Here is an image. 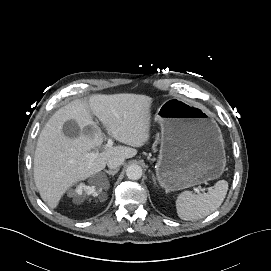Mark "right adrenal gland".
Listing matches in <instances>:
<instances>
[{
    "label": "right adrenal gland",
    "mask_w": 271,
    "mask_h": 271,
    "mask_svg": "<svg viewBox=\"0 0 271 271\" xmlns=\"http://www.w3.org/2000/svg\"><path fill=\"white\" fill-rule=\"evenodd\" d=\"M119 169L116 170H105V173H107L108 175L114 176L116 173H118Z\"/></svg>",
    "instance_id": "right-adrenal-gland-1"
}]
</instances>
